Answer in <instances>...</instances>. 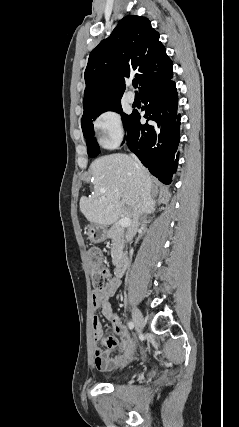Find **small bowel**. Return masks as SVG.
I'll list each match as a JSON object with an SVG mask.
<instances>
[{
	"instance_id": "c3829d8e",
	"label": "small bowel",
	"mask_w": 239,
	"mask_h": 427,
	"mask_svg": "<svg viewBox=\"0 0 239 427\" xmlns=\"http://www.w3.org/2000/svg\"><path fill=\"white\" fill-rule=\"evenodd\" d=\"M119 288L117 279L108 280L103 287L95 289L92 293V306L94 309H101L103 316L111 320L114 325V331L119 336H109L102 340V330L100 321L97 316L92 319L93 336H94V364L100 371H111L127 365L133 360L137 344L132 339L127 329L121 324L117 316L112 312L109 299L116 293ZM103 344L107 350L101 347ZM117 348L120 353L114 357L109 356L110 349Z\"/></svg>"
}]
</instances>
